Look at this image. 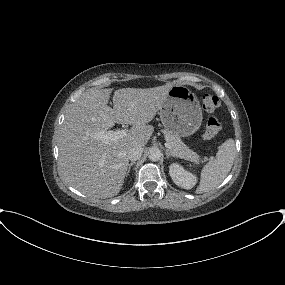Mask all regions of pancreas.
Masks as SVG:
<instances>
[{"label": "pancreas", "mask_w": 285, "mask_h": 285, "mask_svg": "<svg viewBox=\"0 0 285 285\" xmlns=\"http://www.w3.org/2000/svg\"><path fill=\"white\" fill-rule=\"evenodd\" d=\"M164 135L168 143L171 144L169 151L176 157L189 160L191 162H198L199 155L190 150L180 139L178 135L171 131L164 130Z\"/></svg>", "instance_id": "1"}]
</instances>
